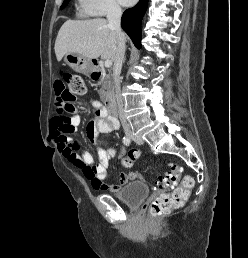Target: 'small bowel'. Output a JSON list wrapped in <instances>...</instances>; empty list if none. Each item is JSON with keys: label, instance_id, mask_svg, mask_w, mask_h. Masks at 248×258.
<instances>
[{"label": "small bowel", "instance_id": "c3829d8e", "mask_svg": "<svg viewBox=\"0 0 248 258\" xmlns=\"http://www.w3.org/2000/svg\"><path fill=\"white\" fill-rule=\"evenodd\" d=\"M54 91L56 94L55 103H57L63 95L68 94L61 80H57L54 83ZM90 103L95 109V117L87 124L86 132L88 139L91 142H95L99 134H109L113 130H116L118 128V122L116 119L108 116L106 108L99 101L91 100ZM79 124L80 117L78 113H75L71 118L73 130L68 133H72L74 129L77 130ZM68 133H62L57 130V128L52 125L51 121V137L56 141L59 152L69 163L81 169L83 173L85 169L88 168L93 170L94 174L87 177V179L95 189L118 192L128 181L138 177V173L136 172L122 173L118 184H106L108 161L115 151L113 149L108 151L99 149V162L95 163L90 153L87 151L80 152L79 143L73 140Z\"/></svg>", "mask_w": 248, "mask_h": 258}]
</instances>
